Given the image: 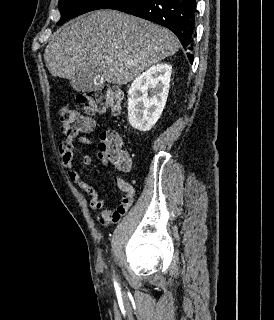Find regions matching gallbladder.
Wrapping results in <instances>:
<instances>
[{
  "mask_svg": "<svg viewBox=\"0 0 274 320\" xmlns=\"http://www.w3.org/2000/svg\"><path fill=\"white\" fill-rule=\"evenodd\" d=\"M99 68H74L72 73V88L77 92H90V90H100L101 85H105L106 80Z\"/></svg>",
  "mask_w": 274,
  "mask_h": 320,
  "instance_id": "gallbladder-1",
  "label": "gallbladder"
}]
</instances>
